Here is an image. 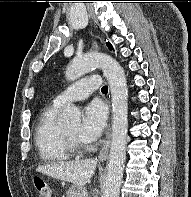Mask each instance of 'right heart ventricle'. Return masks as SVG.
I'll return each mask as SVG.
<instances>
[{"label": "right heart ventricle", "instance_id": "1", "mask_svg": "<svg viewBox=\"0 0 191 197\" xmlns=\"http://www.w3.org/2000/svg\"><path fill=\"white\" fill-rule=\"evenodd\" d=\"M61 106L54 102L46 106L35 127V147L42 161L59 163L71 158L63 128L58 124L57 117Z\"/></svg>", "mask_w": 191, "mask_h": 197}]
</instances>
